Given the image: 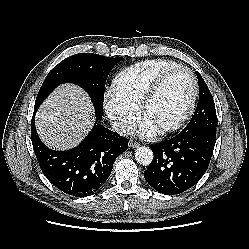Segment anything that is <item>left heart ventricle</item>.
<instances>
[{"label":"left heart ventricle","mask_w":249,"mask_h":249,"mask_svg":"<svg viewBox=\"0 0 249 249\" xmlns=\"http://www.w3.org/2000/svg\"><path fill=\"white\" fill-rule=\"evenodd\" d=\"M191 92L189 74L180 70L167 78L147 108L144 120L157 129L175 122L187 107Z\"/></svg>","instance_id":"b2bd125f"}]
</instances>
